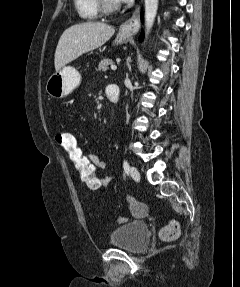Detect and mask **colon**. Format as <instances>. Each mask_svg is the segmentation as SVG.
<instances>
[{
	"mask_svg": "<svg viewBox=\"0 0 240 287\" xmlns=\"http://www.w3.org/2000/svg\"><path fill=\"white\" fill-rule=\"evenodd\" d=\"M55 141L65 154L69 164L76 172L79 179L91 190H98L102 187V176L97 172L96 166L90 161L82 148L78 145L76 138L69 132H58ZM145 213L139 212L137 216ZM118 223H124L126 218L118 217ZM159 236L164 241H173L180 236V227L176 221L169 222L160 230Z\"/></svg>",
	"mask_w": 240,
	"mask_h": 287,
	"instance_id": "obj_1",
	"label": "colon"
}]
</instances>
